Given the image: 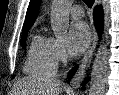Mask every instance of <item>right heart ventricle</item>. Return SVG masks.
<instances>
[{
	"label": "right heart ventricle",
	"mask_w": 119,
	"mask_h": 95,
	"mask_svg": "<svg viewBox=\"0 0 119 95\" xmlns=\"http://www.w3.org/2000/svg\"><path fill=\"white\" fill-rule=\"evenodd\" d=\"M56 68L53 38L36 34L24 63L25 73L33 77H51L55 74Z\"/></svg>",
	"instance_id": "e07e8e85"
}]
</instances>
